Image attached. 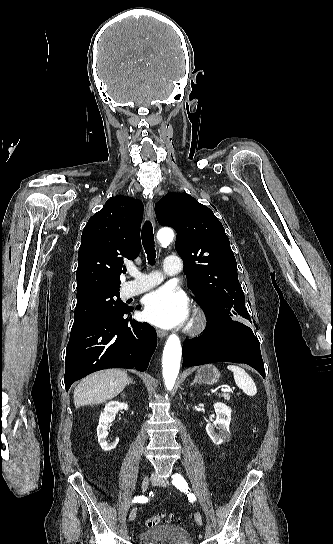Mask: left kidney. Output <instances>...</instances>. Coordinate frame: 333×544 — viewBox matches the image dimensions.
Returning <instances> with one entry per match:
<instances>
[{"mask_svg": "<svg viewBox=\"0 0 333 544\" xmlns=\"http://www.w3.org/2000/svg\"><path fill=\"white\" fill-rule=\"evenodd\" d=\"M214 409L216 419L212 423L206 425V432L212 442L219 445L228 441L231 437L229 427L232 410L227 405L220 402L214 404ZM215 429H219V431L216 432Z\"/></svg>", "mask_w": 333, "mask_h": 544, "instance_id": "5707ae66", "label": "left kidney"}]
</instances>
